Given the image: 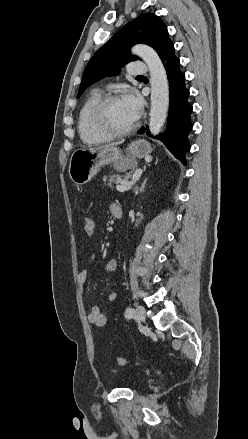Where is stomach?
Returning a JSON list of instances; mask_svg holds the SVG:
<instances>
[{"label":"stomach","mask_w":248,"mask_h":439,"mask_svg":"<svg viewBox=\"0 0 248 439\" xmlns=\"http://www.w3.org/2000/svg\"><path fill=\"white\" fill-rule=\"evenodd\" d=\"M126 151L129 157L144 158L151 153L152 147L149 142L140 139L132 142ZM123 159L122 151L112 145L77 149L70 158V179L76 185H84L96 175L100 167Z\"/></svg>","instance_id":"1"}]
</instances>
